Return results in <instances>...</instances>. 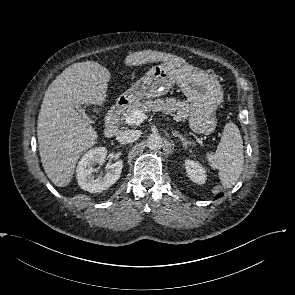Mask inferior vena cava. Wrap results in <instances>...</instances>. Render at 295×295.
Returning a JSON list of instances; mask_svg holds the SVG:
<instances>
[{
	"label": "inferior vena cava",
	"instance_id": "inferior-vena-cava-1",
	"mask_svg": "<svg viewBox=\"0 0 295 295\" xmlns=\"http://www.w3.org/2000/svg\"><path fill=\"white\" fill-rule=\"evenodd\" d=\"M140 137V132L138 130H125L119 131L116 135L118 142L122 144H127L134 142Z\"/></svg>",
	"mask_w": 295,
	"mask_h": 295
}]
</instances>
